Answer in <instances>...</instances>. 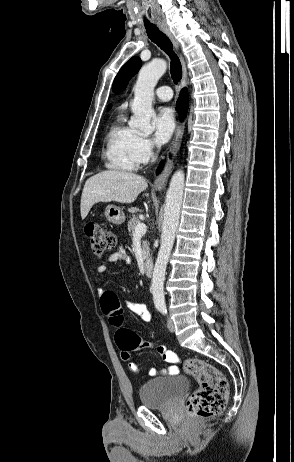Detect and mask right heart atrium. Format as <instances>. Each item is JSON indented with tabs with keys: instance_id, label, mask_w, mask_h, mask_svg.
I'll return each mask as SVG.
<instances>
[{
	"instance_id": "1",
	"label": "right heart atrium",
	"mask_w": 294,
	"mask_h": 462,
	"mask_svg": "<svg viewBox=\"0 0 294 462\" xmlns=\"http://www.w3.org/2000/svg\"><path fill=\"white\" fill-rule=\"evenodd\" d=\"M156 144L152 138L136 134L134 138L133 150L138 164L148 162L155 154Z\"/></svg>"
}]
</instances>
